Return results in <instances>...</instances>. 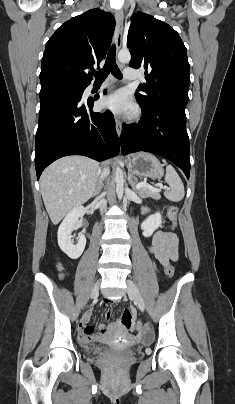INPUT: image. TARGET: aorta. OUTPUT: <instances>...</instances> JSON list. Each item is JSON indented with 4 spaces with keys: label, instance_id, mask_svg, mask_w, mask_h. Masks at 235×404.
<instances>
[{
    "label": "aorta",
    "instance_id": "762f6f07",
    "mask_svg": "<svg viewBox=\"0 0 235 404\" xmlns=\"http://www.w3.org/2000/svg\"><path fill=\"white\" fill-rule=\"evenodd\" d=\"M118 60L121 63H128L131 60L130 52L128 50H121L118 53ZM115 181H116V192L118 198L121 199L124 191V177H123V171L120 167L116 168Z\"/></svg>",
    "mask_w": 235,
    "mask_h": 404
}]
</instances>
